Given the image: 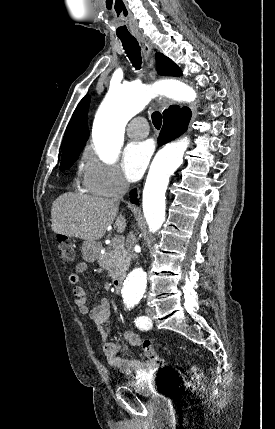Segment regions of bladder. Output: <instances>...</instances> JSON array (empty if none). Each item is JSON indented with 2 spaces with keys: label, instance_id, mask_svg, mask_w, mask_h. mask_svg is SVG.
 I'll use <instances>...</instances> for the list:
<instances>
[{
  "label": "bladder",
  "instance_id": "31cf9c89",
  "mask_svg": "<svg viewBox=\"0 0 275 429\" xmlns=\"http://www.w3.org/2000/svg\"><path fill=\"white\" fill-rule=\"evenodd\" d=\"M128 386L139 398H150L151 403H176L180 397L178 377L131 378Z\"/></svg>",
  "mask_w": 275,
  "mask_h": 429
}]
</instances>
